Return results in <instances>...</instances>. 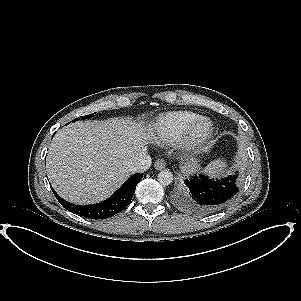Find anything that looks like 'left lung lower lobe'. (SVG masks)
<instances>
[{
	"instance_id": "obj_1",
	"label": "left lung lower lobe",
	"mask_w": 301,
	"mask_h": 301,
	"mask_svg": "<svg viewBox=\"0 0 301 301\" xmlns=\"http://www.w3.org/2000/svg\"><path fill=\"white\" fill-rule=\"evenodd\" d=\"M178 201L183 206L199 213H210L230 204L241 188L237 175L213 181L208 177L194 176L184 182Z\"/></svg>"
}]
</instances>
